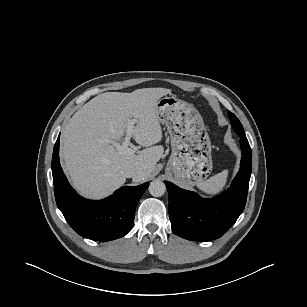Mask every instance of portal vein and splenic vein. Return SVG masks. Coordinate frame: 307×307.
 I'll return each instance as SVG.
<instances>
[{"label":"portal vein and splenic vein","instance_id":"18ae733b","mask_svg":"<svg viewBox=\"0 0 307 307\" xmlns=\"http://www.w3.org/2000/svg\"><path fill=\"white\" fill-rule=\"evenodd\" d=\"M136 123V120H130L128 122L127 125V132H126V136H125V140L122 143V145H120L117 142H112V144L114 145V147L118 150V152L120 154H124V155H134L135 154V149H131L128 146L130 145V139L134 133V124Z\"/></svg>","mask_w":307,"mask_h":307}]
</instances>
